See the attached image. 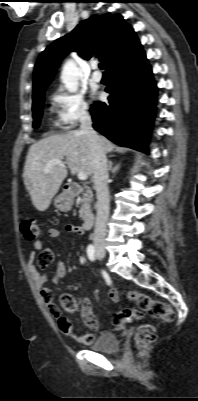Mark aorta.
<instances>
[{"mask_svg":"<svg viewBox=\"0 0 198 401\" xmlns=\"http://www.w3.org/2000/svg\"><path fill=\"white\" fill-rule=\"evenodd\" d=\"M78 68L73 61H67L62 69L61 81L69 92H76L78 89Z\"/></svg>","mask_w":198,"mask_h":401,"instance_id":"1","label":"aorta"}]
</instances>
